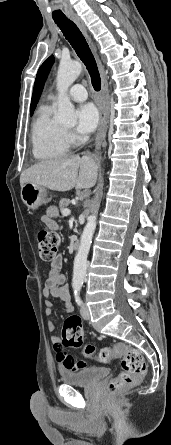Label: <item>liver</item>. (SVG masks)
<instances>
[{
	"mask_svg": "<svg viewBox=\"0 0 171 445\" xmlns=\"http://www.w3.org/2000/svg\"><path fill=\"white\" fill-rule=\"evenodd\" d=\"M97 175V164L89 156L59 157L42 161L23 171L20 185L33 183L59 192L74 187L77 190L89 189L96 184Z\"/></svg>",
	"mask_w": 171,
	"mask_h": 445,
	"instance_id": "6515ba94",
	"label": "liver"
}]
</instances>
